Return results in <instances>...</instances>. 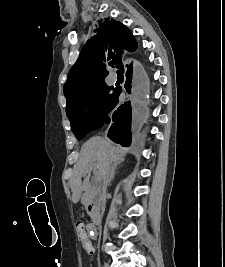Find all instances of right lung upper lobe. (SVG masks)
<instances>
[{
	"label": "right lung upper lobe",
	"mask_w": 225,
	"mask_h": 267,
	"mask_svg": "<svg viewBox=\"0 0 225 267\" xmlns=\"http://www.w3.org/2000/svg\"><path fill=\"white\" fill-rule=\"evenodd\" d=\"M96 35L83 46L64 85L67 102L74 100L90 86L104 83L107 69L116 66L124 71L127 62L124 51L137 45L131 31L122 23L105 19L94 31Z\"/></svg>",
	"instance_id": "right-lung-upper-lobe-1"
}]
</instances>
